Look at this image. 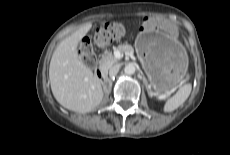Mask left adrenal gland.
<instances>
[{
    "mask_svg": "<svg viewBox=\"0 0 230 155\" xmlns=\"http://www.w3.org/2000/svg\"><path fill=\"white\" fill-rule=\"evenodd\" d=\"M143 80H144V83H145L146 88H147V80H146V78H144ZM148 94H149L150 96H152L149 90H148Z\"/></svg>",
    "mask_w": 230,
    "mask_h": 155,
    "instance_id": "obj_1",
    "label": "left adrenal gland"
}]
</instances>
